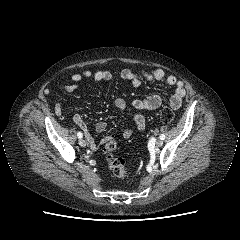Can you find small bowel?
Segmentation results:
<instances>
[{
  "instance_id": "c3829d8e",
  "label": "small bowel",
  "mask_w": 240,
  "mask_h": 240,
  "mask_svg": "<svg viewBox=\"0 0 240 240\" xmlns=\"http://www.w3.org/2000/svg\"><path fill=\"white\" fill-rule=\"evenodd\" d=\"M122 79L130 82L134 87H139L143 81H159L165 80L168 86L174 89L172 96L169 99V105L173 110L180 108L183 98L186 94L184 83L178 80L173 75H165L161 69H156L150 72L137 73L131 69L125 68L120 72ZM113 78V73L107 70L91 71L84 69L78 73L71 75V83L65 86V91L73 92L84 79H93L95 81H109ZM163 97L159 94H152L142 99H135L128 103L123 98H117L114 102L115 107L120 111H126L129 107L135 110H155L162 105ZM62 104L60 102L55 103L54 112L57 116L62 114ZM74 123L84 131L86 139L91 147L95 150L98 148V144L94 141L88 131V126L79 114L73 115ZM131 121L139 131H144L146 128V119L141 113H135L131 116ZM95 129L97 132L102 133L107 129V123L105 121H99ZM133 131L131 129H124L122 136L125 139L131 138Z\"/></svg>"
}]
</instances>
